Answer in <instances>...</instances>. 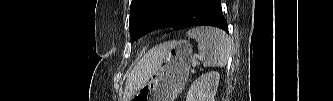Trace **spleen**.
<instances>
[{
    "instance_id": "spleen-1",
    "label": "spleen",
    "mask_w": 333,
    "mask_h": 101,
    "mask_svg": "<svg viewBox=\"0 0 333 101\" xmlns=\"http://www.w3.org/2000/svg\"><path fill=\"white\" fill-rule=\"evenodd\" d=\"M198 43V51L205 67H224L231 54L229 36L213 27H196L187 32Z\"/></svg>"
}]
</instances>
